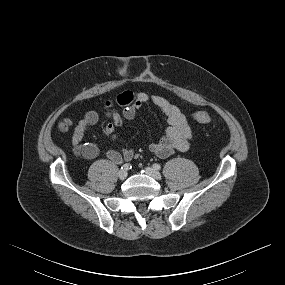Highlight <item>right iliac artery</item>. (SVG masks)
<instances>
[{
	"instance_id": "1",
	"label": "right iliac artery",
	"mask_w": 285,
	"mask_h": 285,
	"mask_svg": "<svg viewBox=\"0 0 285 285\" xmlns=\"http://www.w3.org/2000/svg\"><path fill=\"white\" fill-rule=\"evenodd\" d=\"M131 168V166H130V164H128V163H126V164H124L122 167H121V169L122 170H129Z\"/></svg>"
}]
</instances>
